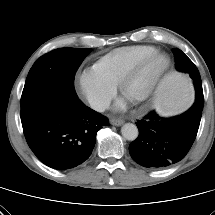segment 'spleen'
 I'll list each match as a JSON object with an SVG mask.
<instances>
[{"label":"spleen","instance_id":"obj_1","mask_svg":"<svg viewBox=\"0 0 215 215\" xmlns=\"http://www.w3.org/2000/svg\"><path fill=\"white\" fill-rule=\"evenodd\" d=\"M198 81L190 73L168 75L155 89L160 109L166 113L188 111L196 103Z\"/></svg>","mask_w":215,"mask_h":215}]
</instances>
